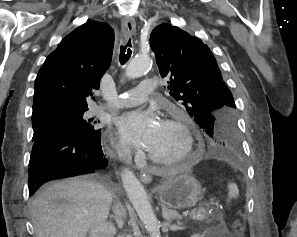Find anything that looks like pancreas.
<instances>
[{"label":"pancreas","mask_w":297,"mask_h":237,"mask_svg":"<svg viewBox=\"0 0 297 237\" xmlns=\"http://www.w3.org/2000/svg\"><path fill=\"white\" fill-rule=\"evenodd\" d=\"M191 216V219L194 221H205L208 220L210 217L214 216L213 212H209L205 207H199Z\"/></svg>","instance_id":"obj_1"}]
</instances>
